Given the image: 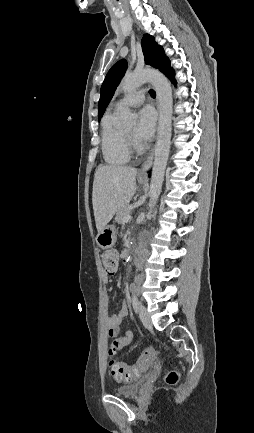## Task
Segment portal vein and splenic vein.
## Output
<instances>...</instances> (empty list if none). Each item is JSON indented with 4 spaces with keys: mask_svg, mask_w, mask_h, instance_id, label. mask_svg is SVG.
<instances>
[{
    "mask_svg": "<svg viewBox=\"0 0 254 433\" xmlns=\"http://www.w3.org/2000/svg\"><path fill=\"white\" fill-rule=\"evenodd\" d=\"M131 219V215H127L124 217L123 221L128 222Z\"/></svg>",
    "mask_w": 254,
    "mask_h": 433,
    "instance_id": "18ae733b",
    "label": "portal vein and splenic vein"
}]
</instances>
